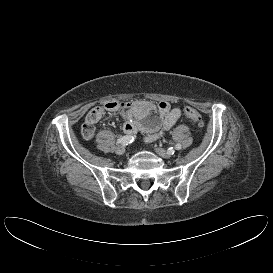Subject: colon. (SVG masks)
Instances as JSON below:
<instances>
[{
	"mask_svg": "<svg viewBox=\"0 0 273 273\" xmlns=\"http://www.w3.org/2000/svg\"><path fill=\"white\" fill-rule=\"evenodd\" d=\"M185 116L192 122L196 123L197 125L201 126L203 124V119L201 114L192 107H186L184 109Z\"/></svg>",
	"mask_w": 273,
	"mask_h": 273,
	"instance_id": "colon-1",
	"label": "colon"
}]
</instances>
